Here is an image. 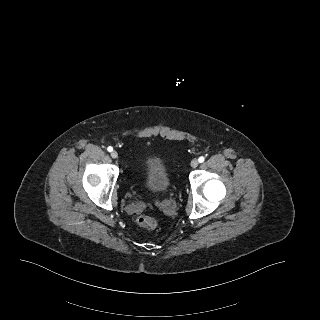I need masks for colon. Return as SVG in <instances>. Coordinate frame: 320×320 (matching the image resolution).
Instances as JSON below:
<instances>
[{"label": "colon", "instance_id": "colon-1", "mask_svg": "<svg viewBox=\"0 0 320 320\" xmlns=\"http://www.w3.org/2000/svg\"><path fill=\"white\" fill-rule=\"evenodd\" d=\"M137 223L139 226L145 229H154L157 226V221L150 216L141 215L137 218Z\"/></svg>", "mask_w": 320, "mask_h": 320}]
</instances>
